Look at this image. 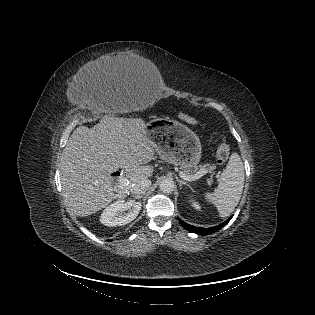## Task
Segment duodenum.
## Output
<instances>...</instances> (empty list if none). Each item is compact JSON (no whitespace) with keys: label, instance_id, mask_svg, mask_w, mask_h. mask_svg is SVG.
<instances>
[{"label":"duodenum","instance_id":"obj_1","mask_svg":"<svg viewBox=\"0 0 315 315\" xmlns=\"http://www.w3.org/2000/svg\"><path fill=\"white\" fill-rule=\"evenodd\" d=\"M113 176L116 178L119 176V173H115Z\"/></svg>","mask_w":315,"mask_h":315}]
</instances>
